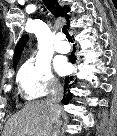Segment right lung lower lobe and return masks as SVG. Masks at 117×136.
Instances as JSON below:
<instances>
[{
	"label": "right lung lower lobe",
	"instance_id": "right-lung-lower-lobe-1",
	"mask_svg": "<svg viewBox=\"0 0 117 136\" xmlns=\"http://www.w3.org/2000/svg\"><path fill=\"white\" fill-rule=\"evenodd\" d=\"M69 59L72 63H74L76 58L74 55H71ZM72 81H73L72 76L66 77L65 79V89L67 90L65 91V96H64V99L62 100L63 103H68L72 99V94L70 93V90H69V88L72 86Z\"/></svg>",
	"mask_w": 117,
	"mask_h": 136
}]
</instances>
